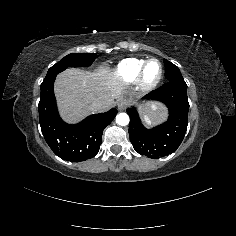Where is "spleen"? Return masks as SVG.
<instances>
[{
	"mask_svg": "<svg viewBox=\"0 0 236 236\" xmlns=\"http://www.w3.org/2000/svg\"><path fill=\"white\" fill-rule=\"evenodd\" d=\"M144 120L146 124L151 125V120L147 116H144Z\"/></svg>",
	"mask_w": 236,
	"mask_h": 236,
	"instance_id": "obj_1",
	"label": "spleen"
}]
</instances>
